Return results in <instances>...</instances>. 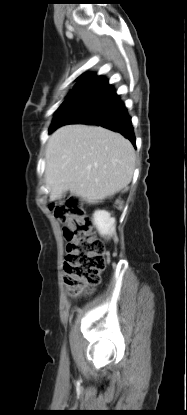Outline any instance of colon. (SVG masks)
<instances>
[{
    "instance_id": "5ec220e1",
    "label": "colon",
    "mask_w": 187,
    "mask_h": 415,
    "mask_svg": "<svg viewBox=\"0 0 187 415\" xmlns=\"http://www.w3.org/2000/svg\"><path fill=\"white\" fill-rule=\"evenodd\" d=\"M54 214L64 224L67 239L64 260L65 284L75 296L99 283L105 268L104 245L94 232L91 217L77 196H69L55 205Z\"/></svg>"
}]
</instances>
